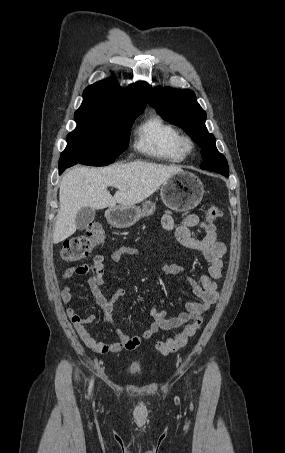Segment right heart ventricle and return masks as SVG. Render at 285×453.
I'll return each mask as SVG.
<instances>
[{
	"instance_id": "e07e8e85",
	"label": "right heart ventricle",
	"mask_w": 285,
	"mask_h": 453,
	"mask_svg": "<svg viewBox=\"0 0 285 453\" xmlns=\"http://www.w3.org/2000/svg\"><path fill=\"white\" fill-rule=\"evenodd\" d=\"M178 129L157 114L149 115L137 128L134 147L150 157L181 162L185 154L179 148Z\"/></svg>"
}]
</instances>
